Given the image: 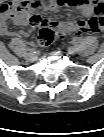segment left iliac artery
<instances>
[{"label": "left iliac artery", "instance_id": "1", "mask_svg": "<svg viewBox=\"0 0 104 137\" xmlns=\"http://www.w3.org/2000/svg\"><path fill=\"white\" fill-rule=\"evenodd\" d=\"M73 42L77 44L79 42V38H73Z\"/></svg>", "mask_w": 104, "mask_h": 137}]
</instances>
